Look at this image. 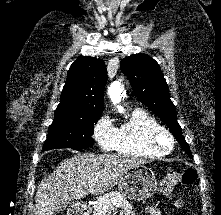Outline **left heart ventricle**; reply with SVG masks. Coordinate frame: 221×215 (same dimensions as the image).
Masks as SVG:
<instances>
[{"mask_svg":"<svg viewBox=\"0 0 221 215\" xmlns=\"http://www.w3.org/2000/svg\"><path fill=\"white\" fill-rule=\"evenodd\" d=\"M163 142H166V140H165V139H163Z\"/></svg>","mask_w":221,"mask_h":215,"instance_id":"left-heart-ventricle-1","label":"left heart ventricle"}]
</instances>
